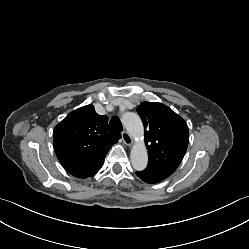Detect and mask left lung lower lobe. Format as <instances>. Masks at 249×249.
<instances>
[{"mask_svg": "<svg viewBox=\"0 0 249 249\" xmlns=\"http://www.w3.org/2000/svg\"><path fill=\"white\" fill-rule=\"evenodd\" d=\"M137 176L147 183H157L164 180L166 177L144 170L136 172Z\"/></svg>", "mask_w": 249, "mask_h": 249, "instance_id": "left-lung-lower-lobe-1", "label": "left lung lower lobe"}]
</instances>
